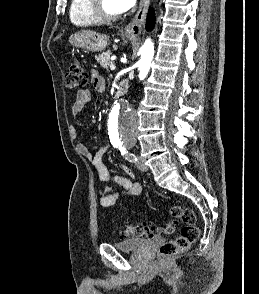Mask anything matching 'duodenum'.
I'll list each match as a JSON object with an SVG mask.
<instances>
[{
  "label": "duodenum",
  "instance_id": "1",
  "mask_svg": "<svg viewBox=\"0 0 259 294\" xmlns=\"http://www.w3.org/2000/svg\"><path fill=\"white\" fill-rule=\"evenodd\" d=\"M128 90V82L127 81H121L118 83L116 89H115V98L117 100L121 99L124 94Z\"/></svg>",
  "mask_w": 259,
  "mask_h": 294
}]
</instances>
